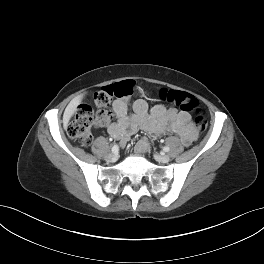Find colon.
Segmentation results:
<instances>
[{
    "instance_id": "obj_1",
    "label": "colon",
    "mask_w": 264,
    "mask_h": 264,
    "mask_svg": "<svg viewBox=\"0 0 264 264\" xmlns=\"http://www.w3.org/2000/svg\"><path fill=\"white\" fill-rule=\"evenodd\" d=\"M134 92L132 81L125 80L106 86L97 92L94 98L97 112L88 104L79 106L75 116L67 127V133L81 145H89L93 137V129L108 124L112 118L109 109L112 98L126 99ZM161 100L166 101L182 111H192L197 130L202 133L206 130L208 122L199 101L191 94L178 90L163 88L159 91Z\"/></svg>"
}]
</instances>
